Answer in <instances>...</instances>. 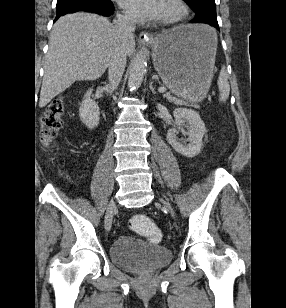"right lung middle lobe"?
Segmentation results:
<instances>
[{
  "instance_id": "1",
  "label": "right lung middle lobe",
  "mask_w": 286,
  "mask_h": 308,
  "mask_svg": "<svg viewBox=\"0 0 286 308\" xmlns=\"http://www.w3.org/2000/svg\"><path fill=\"white\" fill-rule=\"evenodd\" d=\"M94 2L104 5L111 3L110 0H57V8L73 3H94Z\"/></svg>"
}]
</instances>
